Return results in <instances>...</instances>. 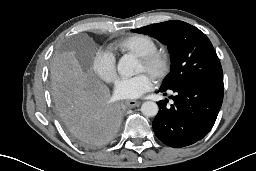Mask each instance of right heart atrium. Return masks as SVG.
Here are the masks:
<instances>
[{
    "label": "right heart atrium",
    "mask_w": 256,
    "mask_h": 171,
    "mask_svg": "<svg viewBox=\"0 0 256 171\" xmlns=\"http://www.w3.org/2000/svg\"><path fill=\"white\" fill-rule=\"evenodd\" d=\"M92 70L102 80L114 82L117 78L116 58L113 53L98 51L92 60Z\"/></svg>",
    "instance_id": "1"
}]
</instances>
